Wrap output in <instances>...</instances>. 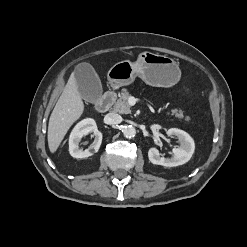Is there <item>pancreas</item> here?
<instances>
[{
  "instance_id": "1",
  "label": "pancreas",
  "mask_w": 247,
  "mask_h": 247,
  "mask_svg": "<svg viewBox=\"0 0 247 247\" xmlns=\"http://www.w3.org/2000/svg\"><path fill=\"white\" fill-rule=\"evenodd\" d=\"M130 97L127 89H122L121 94L119 95V99L116 101L113 110L115 112H119L121 114H129L131 113L130 105L128 104V99ZM168 114H170L168 112ZM171 115H174L178 119H183V111L181 109H173L171 110ZM190 117L186 116L185 121H190Z\"/></svg>"
}]
</instances>
